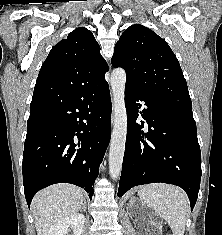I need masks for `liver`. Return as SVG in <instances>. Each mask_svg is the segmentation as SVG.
<instances>
[{"label":"liver","instance_id":"obj_1","mask_svg":"<svg viewBox=\"0 0 222 235\" xmlns=\"http://www.w3.org/2000/svg\"><path fill=\"white\" fill-rule=\"evenodd\" d=\"M83 201L81 189L70 184H56L38 192L31 204L37 235H47L54 224L77 214Z\"/></svg>","mask_w":222,"mask_h":235}]
</instances>
